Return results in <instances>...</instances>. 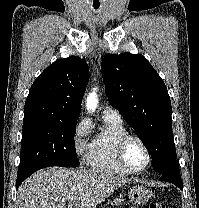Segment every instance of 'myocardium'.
Returning a JSON list of instances; mask_svg holds the SVG:
<instances>
[{
  "mask_svg": "<svg viewBox=\"0 0 199 208\" xmlns=\"http://www.w3.org/2000/svg\"><path fill=\"white\" fill-rule=\"evenodd\" d=\"M132 140L138 141L143 146V148L146 152V155H147V161H146L145 165L140 169H135V168L131 167L126 159V148H127V145L129 144V142ZM117 160H118L119 164L125 170H127L129 173L139 174V173L144 172L150 166L151 161H152V154H151L148 144L145 142V140L143 138H141L138 135L128 133L125 136H123L118 142Z\"/></svg>",
  "mask_w": 199,
  "mask_h": 208,
  "instance_id": "myocardium-1",
  "label": "myocardium"
}]
</instances>
